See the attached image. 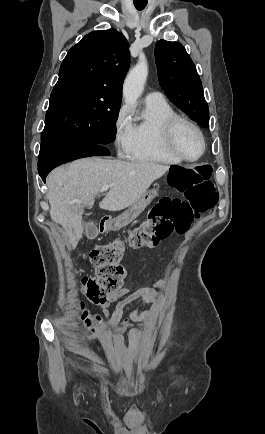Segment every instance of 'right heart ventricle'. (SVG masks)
Segmentation results:
<instances>
[{
	"label": "right heart ventricle",
	"mask_w": 265,
	"mask_h": 434,
	"mask_svg": "<svg viewBox=\"0 0 265 434\" xmlns=\"http://www.w3.org/2000/svg\"><path fill=\"white\" fill-rule=\"evenodd\" d=\"M173 107L164 99L160 103L145 100L136 116L132 153L128 159L135 163L177 166L179 161L170 151L167 141V125L176 116Z\"/></svg>",
	"instance_id": "1"
}]
</instances>
